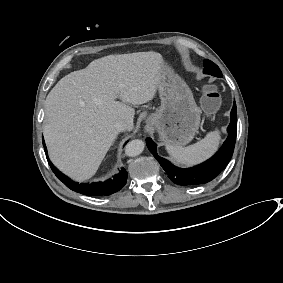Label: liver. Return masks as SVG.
Instances as JSON below:
<instances>
[{"mask_svg":"<svg viewBox=\"0 0 283 283\" xmlns=\"http://www.w3.org/2000/svg\"><path fill=\"white\" fill-rule=\"evenodd\" d=\"M164 66L157 52L108 55L64 76L47 95L43 134L53 164L75 181L98 170L133 105L153 99ZM119 98L122 102L116 101Z\"/></svg>","mask_w":283,"mask_h":283,"instance_id":"liver-1","label":"liver"}]
</instances>
